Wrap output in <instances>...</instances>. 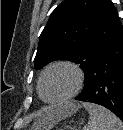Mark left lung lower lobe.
I'll list each match as a JSON object with an SVG mask.
<instances>
[{
	"mask_svg": "<svg viewBox=\"0 0 123 130\" xmlns=\"http://www.w3.org/2000/svg\"><path fill=\"white\" fill-rule=\"evenodd\" d=\"M76 100L102 105L123 121V28L94 60Z\"/></svg>",
	"mask_w": 123,
	"mask_h": 130,
	"instance_id": "0a47b994",
	"label": "left lung lower lobe"
}]
</instances>
